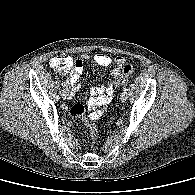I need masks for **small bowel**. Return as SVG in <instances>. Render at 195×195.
I'll return each mask as SVG.
<instances>
[{"label": "small bowel", "instance_id": "c3829d8e", "mask_svg": "<svg viewBox=\"0 0 195 195\" xmlns=\"http://www.w3.org/2000/svg\"><path fill=\"white\" fill-rule=\"evenodd\" d=\"M71 60L72 67L68 77V84L71 88L70 97H74L79 88L78 79L84 72L85 60H93L95 63L103 67H109L113 62H115L117 68L112 71V79L119 75L122 67L125 65V59L123 57H116L113 60L110 56L102 53H97L92 56L81 55L75 58H71ZM112 79L99 86H94L90 90L91 98L88 101V108L91 110L90 118L92 120L99 119L109 110L114 91ZM84 110L85 108L83 105L76 104L71 108L70 112L73 116H80L83 114Z\"/></svg>", "mask_w": 195, "mask_h": 195}]
</instances>
